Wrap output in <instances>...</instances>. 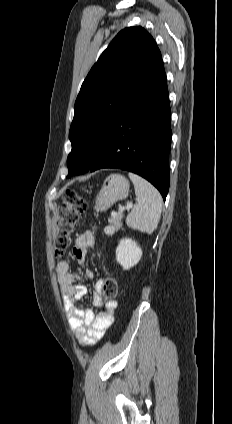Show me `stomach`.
Returning a JSON list of instances; mask_svg holds the SVG:
<instances>
[{"mask_svg": "<svg viewBox=\"0 0 232 424\" xmlns=\"http://www.w3.org/2000/svg\"><path fill=\"white\" fill-rule=\"evenodd\" d=\"M129 186V181L123 175L111 174L96 197L94 209L104 212L117 201L127 198Z\"/></svg>", "mask_w": 232, "mask_h": 424, "instance_id": "stomach-1", "label": "stomach"}]
</instances>
